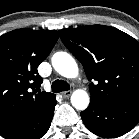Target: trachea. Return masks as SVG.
<instances>
[{
	"mask_svg": "<svg viewBox=\"0 0 139 139\" xmlns=\"http://www.w3.org/2000/svg\"><path fill=\"white\" fill-rule=\"evenodd\" d=\"M69 89V84L64 80L57 79L52 83V92L59 93L61 91H68Z\"/></svg>",
	"mask_w": 139,
	"mask_h": 139,
	"instance_id": "3493384b",
	"label": "trachea"
}]
</instances>
